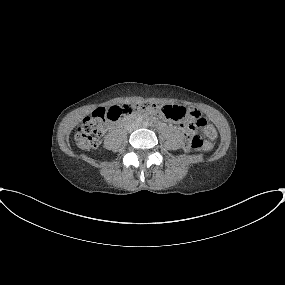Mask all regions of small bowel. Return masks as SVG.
Listing matches in <instances>:
<instances>
[{
  "instance_id": "c3829d8e",
  "label": "small bowel",
  "mask_w": 285,
  "mask_h": 285,
  "mask_svg": "<svg viewBox=\"0 0 285 285\" xmlns=\"http://www.w3.org/2000/svg\"><path fill=\"white\" fill-rule=\"evenodd\" d=\"M192 111H194L195 109L194 108H192V107H189Z\"/></svg>"
}]
</instances>
